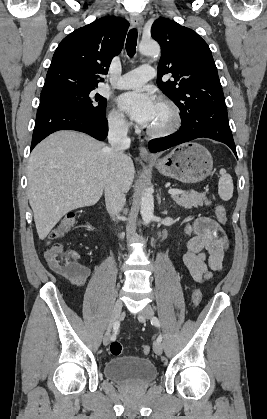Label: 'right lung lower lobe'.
Returning <instances> with one entry per match:
<instances>
[{
    "label": "right lung lower lobe",
    "mask_w": 267,
    "mask_h": 419,
    "mask_svg": "<svg viewBox=\"0 0 267 419\" xmlns=\"http://www.w3.org/2000/svg\"><path fill=\"white\" fill-rule=\"evenodd\" d=\"M76 130L102 141L108 134L105 115L87 116L75 108L52 99H40L31 150L49 134L59 130Z\"/></svg>",
    "instance_id": "obj_1"
}]
</instances>
